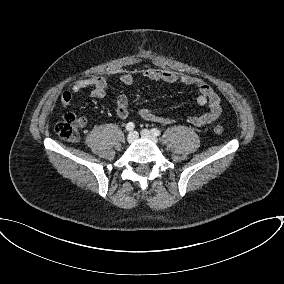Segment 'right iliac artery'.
I'll list each match as a JSON object with an SVG mask.
<instances>
[{"label":"right iliac artery","instance_id":"82829eb1","mask_svg":"<svg viewBox=\"0 0 284 284\" xmlns=\"http://www.w3.org/2000/svg\"><path fill=\"white\" fill-rule=\"evenodd\" d=\"M134 127H135V125H134L133 122H129V123H127V125H126V129H127L128 131H132V130L134 129Z\"/></svg>","mask_w":284,"mask_h":284}]
</instances>
